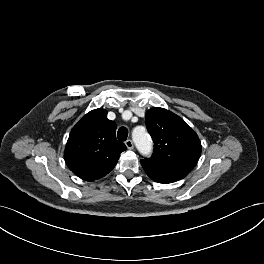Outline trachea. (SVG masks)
Segmentation results:
<instances>
[{
	"label": "trachea",
	"instance_id": "3493384b",
	"mask_svg": "<svg viewBox=\"0 0 264 264\" xmlns=\"http://www.w3.org/2000/svg\"><path fill=\"white\" fill-rule=\"evenodd\" d=\"M128 136V130L126 127H120L117 132L118 140L125 141Z\"/></svg>",
	"mask_w": 264,
	"mask_h": 264
}]
</instances>
